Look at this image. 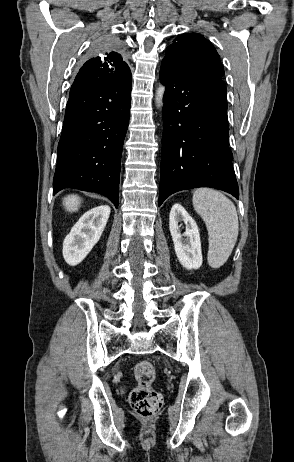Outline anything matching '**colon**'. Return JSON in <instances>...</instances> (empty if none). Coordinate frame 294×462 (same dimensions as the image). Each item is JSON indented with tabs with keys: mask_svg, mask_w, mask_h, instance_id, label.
Returning <instances> with one entry per match:
<instances>
[{
	"mask_svg": "<svg viewBox=\"0 0 294 462\" xmlns=\"http://www.w3.org/2000/svg\"><path fill=\"white\" fill-rule=\"evenodd\" d=\"M134 376L138 385L130 393V404L139 416L152 417L163 404L161 394L151 387L156 376L153 364L147 360L139 361L135 366Z\"/></svg>",
	"mask_w": 294,
	"mask_h": 462,
	"instance_id": "5ec220e1",
	"label": "colon"
}]
</instances>
